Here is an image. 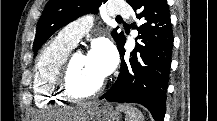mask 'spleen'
<instances>
[{
	"label": "spleen",
	"mask_w": 217,
	"mask_h": 121,
	"mask_svg": "<svg viewBox=\"0 0 217 121\" xmlns=\"http://www.w3.org/2000/svg\"><path fill=\"white\" fill-rule=\"evenodd\" d=\"M117 109L125 113L126 121H144L142 113L132 106L118 105Z\"/></svg>",
	"instance_id": "3e777b00"
}]
</instances>
